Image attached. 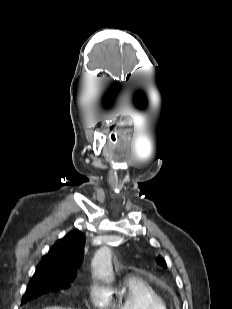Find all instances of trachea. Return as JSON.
<instances>
[{
  "instance_id": "trachea-1",
  "label": "trachea",
  "mask_w": 232,
  "mask_h": 309,
  "mask_svg": "<svg viewBox=\"0 0 232 309\" xmlns=\"http://www.w3.org/2000/svg\"><path fill=\"white\" fill-rule=\"evenodd\" d=\"M109 140L114 145L117 143L118 139H117V136L114 132L109 133Z\"/></svg>"
}]
</instances>
